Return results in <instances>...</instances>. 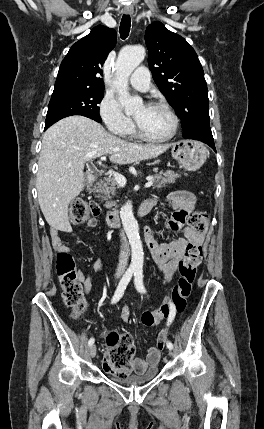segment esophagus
I'll list each match as a JSON object with an SVG mask.
<instances>
[{"instance_id": "obj_1", "label": "esophagus", "mask_w": 264, "mask_h": 429, "mask_svg": "<svg viewBox=\"0 0 264 429\" xmlns=\"http://www.w3.org/2000/svg\"><path fill=\"white\" fill-rule=\"evenodd\" d=\"M124 13L126 15H132L133 14V7L132 6H125L124 7Z\"/></svg>"}]
</instances>
